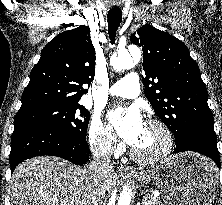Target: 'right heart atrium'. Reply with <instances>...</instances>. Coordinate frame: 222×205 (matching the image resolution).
<instances>
[{"instance_id":"1","label":"right heart atrium","mask_w":222,"mask_h":205,"mask_svg":"<svg viewBox=\"0 0 222 205\" xmlns=\"http://www.w3.org/2000/svg\"><path fill=\"white\" fill-rule=\"evenodd\" d=\"M88 142L91 150L102 158H113L120 150L112 130L98 117L93 118L90 123Z\"/></svg>"}]
</instances>
